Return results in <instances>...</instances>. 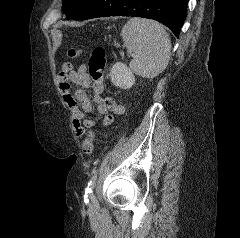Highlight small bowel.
Returning a JSON list of instances; mask_svg holds the SVG:
<instances>
[{
    "label": "small bowel",
    "instance_id": "small-bowel-1",
    "mask_svg": "<svg viewBox=\"0 0 240 238\" xmlns=\"http://www.w3.org/2000/svg\"><path fill=\"white\" fill-rule=\"evenodd\" d=\"M70 82L79 85L83 89L92 88L93 101L99 114L103 115V126L112 123L114 115H122L125 111L122 105L116 103L111 97H103L104 86L102 82H91L85 65L74 69L71 63H63L58 73V83L63 99L73 115V127L78 136L84 134V128L94 126V120L86 118L84 113L93 110V101L83 89L71 92ZM79 106L82 110H80Z\"/></svg>",
    "mask_w": 240,
    "mask_h": 238
}]
</instances>
